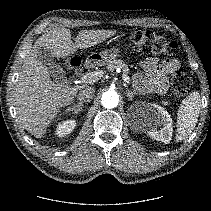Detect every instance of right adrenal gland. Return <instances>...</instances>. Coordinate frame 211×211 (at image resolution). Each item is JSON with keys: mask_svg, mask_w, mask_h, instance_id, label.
Segmentation results:
<instances>
[{"mask_svg": "<svg viewBox=\"0 0 211 211\" xmlns=\"http://www.w3.org/2000/svg\"><path fill=\"white\" fill-rule=\"evenodd\" d=\"M82 108H83V103L80 102V103L75 104L72 107L67 108L66 112L72 111L74 114H78L82 110Z\"/></svg>", "mask_w": 211, "mask_h": 211, "instance_id": "1", "label": "right adrenal gland"}]
</instances>
